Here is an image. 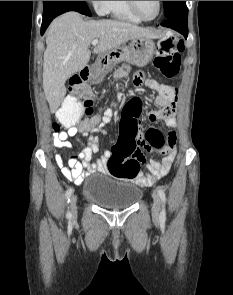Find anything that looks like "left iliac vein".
I'll list each match as a JSON object with an SVG mask.
<instances>
[{"instance_id":"4c4485c4","label":"left iliac vein","mask_w":233,"mask_h":295,"mask_svg":"<svg viewBox=\"0 0 233 295\" xmlns=\"http://www.w3.org/2000/svg\"><path fill=\"white\" fill-rule=\"evenodd\" d=\"M152 198H153L152 214L155 218H158L160 215L161 201L158 194L156 193L152 194Z\"/></svg>"}]
</instances>
